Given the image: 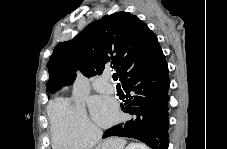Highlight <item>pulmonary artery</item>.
Instances as JSON below:
<instances>
[{
  "label": "pulmonary artery",
  "instance_id": "obj_1",
  "mask_svg": "<svg viewBox=\"0 0 227 149\" xmlns=\"http://www.w3.org/2000/svg\"><path fill=\"white\" fill-rule=\"evenodd\" d=\"M93 86L97 90H113V86L111 85V78L107 75H103L96 79L93 83Z\"/></svg>",
  "mask_w": 227,
  "mask_h": 149
}]
</instances>
